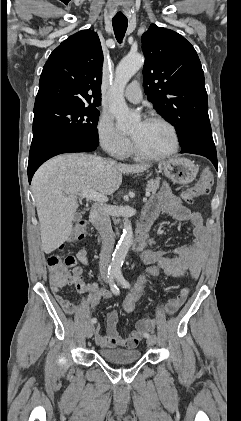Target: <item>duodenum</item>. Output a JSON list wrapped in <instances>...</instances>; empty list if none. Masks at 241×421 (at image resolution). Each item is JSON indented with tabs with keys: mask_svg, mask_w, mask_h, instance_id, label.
Masks as SVG:
<instances>
[{
	"mask_svg": "<svg viewBox=\"0 0 241 421\" xmlns=\"http://www.w3.org/2000/svg\"><path fill=\"white\" fill-rule=\"evenodd\" d=\"M153 221H154L153 218L144 216L134 239V243H133L134 250H141L144 247L145 241L148 237V233Z\"/></svg>",
	"mask_w": 241,
	"mask_h": 421,
	"instance_id": "410a0bca",
	"label": "duodenum"
}]
</instances>
